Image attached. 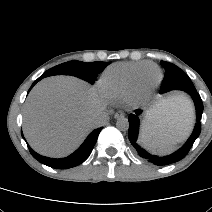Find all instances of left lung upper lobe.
Returning <instances> with one entry per match:
<instances>
[{
	"label": "left lung upper lobe",
	"mask_w": 212,
	"mask_h": 212,
	"mask_svg": "<svg viewBox=\"0 0 212 212\" xmlns=\"http://www.w3.org/2000/svg\"><path fill=\"white\" fill-rule=\"evenodd\" d=\"M161 64L166 70V76L160 89L161 93L195 88L190 78L179 67L165 61H161Z\"/></svg>",
	"instance_id": "1"
}]
</instances>
